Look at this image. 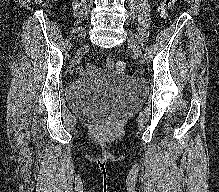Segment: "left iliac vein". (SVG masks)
Returning a JSON list of instances; mask_svg holds the SVG:
<instances>
[{"instance_id": "left-iliac-vein-1", "label": "left iliac vein", "mask_w": 219, "mask_h": 192, "mask_svg": "<svg viewBox=\"0 0 219 192\" xmlns=\"http://www.w3.org/2000/svg\"><path fill=\"white\" fill-rule=\"evenodd\" d=\"M128 47L130 48V50L137 56V57H142V52H141V49L137 43V41L135 40V38L130 35L128 37Z\"/></svg>"}]
</instances>
